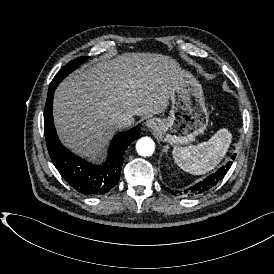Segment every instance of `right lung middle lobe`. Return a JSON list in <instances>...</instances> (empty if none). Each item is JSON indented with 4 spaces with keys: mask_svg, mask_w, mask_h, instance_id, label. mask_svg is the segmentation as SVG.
I'll return each mask as SVG.
<instances>
[{
    "mask_svg": "<svg viewBox=\"0 0 274 274\" xmlns=\"http://www.w3.org/2000/svg\"><path fill=\"white\" fill-rule=\"evenodd\" d=\"M86 57H80L73 61H70L65 67H63L53 78L52 82L50 83V88H56L58 84L72 71H74L78 65L83 62Z\"/></svg>",
    "mask_w": 274,
    "mask_h": 274,
    "instance_id": "1",
    "label": "right lung middle lobe"
}]
</instances>
